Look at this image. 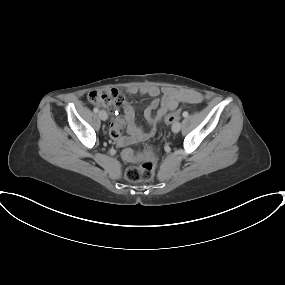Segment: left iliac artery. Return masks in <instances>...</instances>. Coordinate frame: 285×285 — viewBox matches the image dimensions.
<instances>
[{
    "mask_svg": "<svg viewBox=\"0 0 285 285\" xmlns=\"http://www.w3.org/2000/svg\"><path fill=\"white\" fill-rule=\"evenodd\" d=\"M188 116V113L187 112H184L183 113V117H187Z\"/></svg>",
    "mask_w": 285,
    "mask_h": 285,
    "instance_id": "1",
    "label": "left iliac artery"
}]
</instances>
